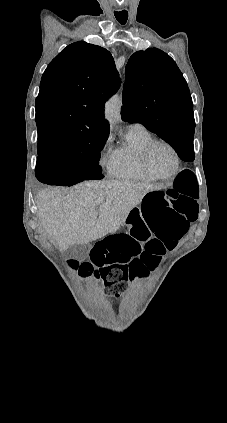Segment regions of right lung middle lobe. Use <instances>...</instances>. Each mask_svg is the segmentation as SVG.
Returning a JSON list of instances; mask_svg holds the SVG:
<instances>
[{
  "label": "right lung middle lobe",
  "instance_id": "dd1d6c3e",
  "mask_svg": "<svg viewBox=\"0 0 227 423\" xmlns=\"http://www.w3.org/2000/svg\"><path fill=\"white\" fill-rule=\"evenodd\" d=\"M107 138L108 134L84 135L38 145V161L55 162L82 180L102 179L99 159Z\"/></svg>",
  "mask_w": 227,
  "mask_h": 423
}]
</instances>
